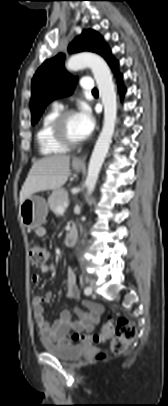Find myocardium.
I'll return each instance as SVG.
<instances>
[{
	"mask_svg": "<svg viewBox=\"0 0 168 406\" xmlns=\"http://www.w3.org/2000/svg\"><path fill=\"white\" fill-rule=\"evenodd\" d=\"M75 114L72 109L61 111L55 118L52 125V133L54 139L61 145L65 147H77L84 142V138L81 140L71 139L66 132V121L67 119Z\"/></svg>",
	"mask_w": 168,
	"mask_h": 406,
	"instance_id": "myocardium-1",
	"label": "myocardium"
}]
</instances>
